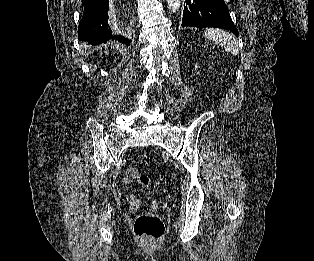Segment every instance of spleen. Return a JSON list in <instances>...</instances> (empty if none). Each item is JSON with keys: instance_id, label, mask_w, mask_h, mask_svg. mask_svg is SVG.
Returning a JSON list of instances; mask_svg holds the SVG:
<instances>
[{"instance_id": "spleen-1", "label": "spleen", "mask_w": 314, "mask_h": 261, "mask_svg": "<svg viewBox=\"0 0 314 261\" xmlns=\"http://www.w3.org/2000/svg\"><path fill=\"white\" fill-rule=\"evenodd\" d=\"M204 37L234 56L239 54L237 39L231 33L221 29L210 28L205 30Z\"/></svg>"}]
</instances>
